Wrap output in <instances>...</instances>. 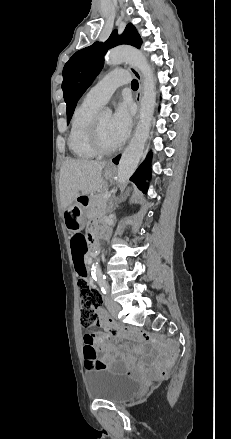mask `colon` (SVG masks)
<instances>
[{"label":"colon","mask_w":231,"mask_h":439,"mask_svg":"<svg viewBox=\"0 0 231 439\" xmlns=\"http://www.w3.org/2000/svg\"><path fill=\"white\" fill-rule=\"evenodd\" d=\"M72 240L76 247V254L78 253L80 243H82V248L85 251L87 244L84 239L76 236ZM77 267L80 274L77 280V288L81 302V323L84 327H91L95 323L96 311L100 306L101 298L98 291L92 287L85 266L78 265ZM110 330L114 334H126L129 332L127 329L116 324H112ZM134 333L142 341L167 354V358L165 359L160 372V377L163 379L166 378L175 360L176 351L174 347L167 340L159 338L146 331L135 330ZM94 358L95 356L92 351L86 353L85 366L87 368H93L95 362ZM104 366L105 365L99 361L95 362V368H103Z\"/></svg>","instance_id":"5ec220e1"}]
</instances>
